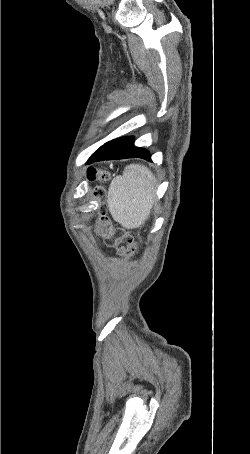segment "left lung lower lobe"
Listing matches in <instances>:
<instances>
[{
  "label": "left lung lower lobe",
  "mask_w": 250,
  "mask_h": 454,
  "mask_svg": "<svg viewBox=\"0 0 250 454\" xmlns=\"http://www.w3.org/2000/svg\"><path fill=\"white\" fill-rule=\"evenodd\" d=\"M143 158L151 160L150 153L143 148L134 146V138H119L105 143L89 158L87 164L102 160L125 158Z\"/></svg>",
  "instance_id": "0a47b994"
}]
</instances>
